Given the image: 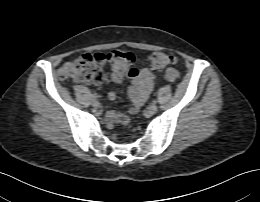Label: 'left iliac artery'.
<instances>
[{
	"label": "left iliac artery",
	"instance_id": "1",
	"mask_svg": "<svg viewBox=\"0 0 260 202\" xmlns=\"http://www.w3.org/2000/svg\"><path fill=\"white\" fill-rule=\"evenodd\" d=\"M156 102H157V101H156L155 99H154V100H152V104H156Z\"/></svg>",
	"mask_w": 260,
	"mask_h": 202
}]
</instances>
